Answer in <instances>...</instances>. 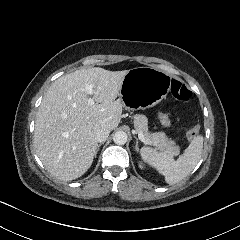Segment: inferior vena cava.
Listing matches in <instances>:
<instances>
[{
	"label": "inferior vena cava",
	"instance_id": "1",
	"mask_svg": "<svg viewBox=\"0 0 240 240\" xmlns=\"http://www.w3.org/2000/svg\"><path fill=\"white\" fill-rule=\"evenodd\" d=\"M110 134L108 129H98L95 133V140L96 142H105Z\"/></svg>",
	"mask_w": 240,
	"mask_h": 240
}]
</instances>
